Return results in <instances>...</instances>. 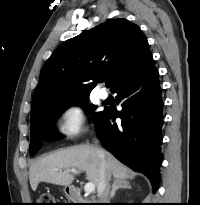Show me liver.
<instances>
[{"instance_id": "1", "label": "liver", "mask_w": 200, "mask_h": 205, "mask_svg": "<svg viewBox=\"0 0 200 205\" xmlns=\"http://www.w3.org/2000/svg\"><path fill=\"white\" fill-rule=\"evenodd\" d=\"M100 150L103 152V158L97 153L96 147L78 145L37 159L29 169L32 190L35 191L40 182L69 186L74 180L71 169L85 171L86 179L98 188L102 164L114 181H126L129 177L128 168L109 152Z\"/></svg>"}]
</instances>
